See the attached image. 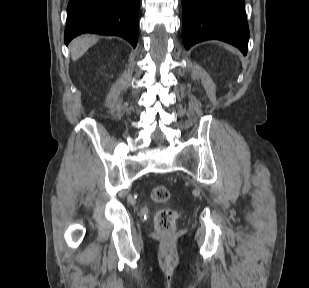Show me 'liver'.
<instances>
[{
	"instance_id": "1",
	"label": "liver",
	"mask_w": 309,
	"mask_h": 288,
	"mask_svg": "<svg viewBox=\"0 0 309 288\" xmlns=\"http://www.w3.org/2000/svg\"><path fill=\"white\" fill-rule=\"evenodd\" d=\"M97 41L98 37L90 35H84L76 38L70 45L72 60H78L92 45L97 43Z\"/></svg>"
}]
</instances>
